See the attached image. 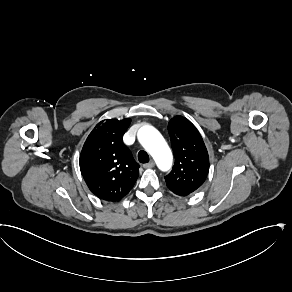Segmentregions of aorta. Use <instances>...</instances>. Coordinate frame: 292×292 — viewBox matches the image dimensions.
<instances>
[{"mask_svg": "<svg viewBox=\"0 0 292 292\" xmlns=\"http://www.w3.org/2000/svg\"><path fill=\"white\" fill-rule=\"evenodd\" d=\"M138 139L148 153L154 158L162 171L172 167V152L162 135L152 126H143L138 131Z\"/></svg>", "mask_w": 292, "mask_h": 292, "instance_id": "obj_1", "label": "aorta"}]
</instances>
